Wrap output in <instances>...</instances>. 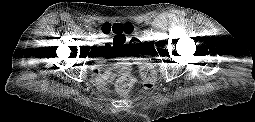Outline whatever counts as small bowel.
<instances>
[{
    "label": "small bowel",
    "mask_w": 255,
    "mask_h": 122,
    "mask_svg": "<svg viewBox=\"0 0 255 122\" xmlns=\"http://www.w3.org/2000/svg\"><path fill=\"white\" fill-rule=\"evenodd\" d=\"M106 24H109V25H113V24H110V23H106ZM106 24H103L102 28H101V31L99 33V37L101 38H104L105 37V33L103 31V27L106 25ZM115 24H121V23H115ZM113 37L109 40H106L102 43V46H103V49H104V52L101 54V61H104L105 59H107V57L110 55V52L113 50V49H118L124 45H127L129 42H130V37L129 36H126L124 34H112ZM129 66V63L125 60L123 61H120L118 64H117V67L118 68H127ZM94 72L101 76L102 78H104V75H102L101 73V63L97 64L95 67H94Z\"/></svg>",
    "instance_id": "c3829d8e"
}]
</instances>
